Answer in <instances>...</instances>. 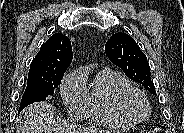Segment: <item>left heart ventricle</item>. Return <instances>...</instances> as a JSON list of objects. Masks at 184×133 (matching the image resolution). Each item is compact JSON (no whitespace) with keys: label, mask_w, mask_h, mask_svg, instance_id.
Here are the masks:
<instances>
[{"label":"left heart ventricle","mask_w":184,"mask_h":133,"mask_svg":"<svg viewBox=\"0 0 184 133\" xmlns=\"http://www.w3.org/2000/svg\"><path fill=\"white\" fill-rule=\"evenodd\" d=\"M128 107L136 115H141L145 111V106L143 102L137 96H132L128 100Z\"/></svg>","instance_id":"left-heart-ventricle-1"}]
</instances>
